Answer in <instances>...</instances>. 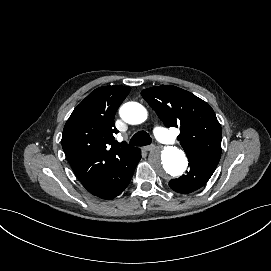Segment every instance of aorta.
Returning <instances> with one entry per match:
<instances>
[{"label":"aorta","instance_id":"obj_1","mask_svg":"<svg viewBox=\"0 0 271 271\" xmlns=\"http://www.w3.org/2000/svg\"><path fill=\"white\" fill-rule=\"evenodd\" d=\"M120 116L126 123L141 124L147 119V110L137 102H128L121 106ZM149 162L153 170L163 178L180 176L188 166L184 152L173 146L153 150Z\"/></svg>","mask_w":271,"mask_h":271}]
</instances>
